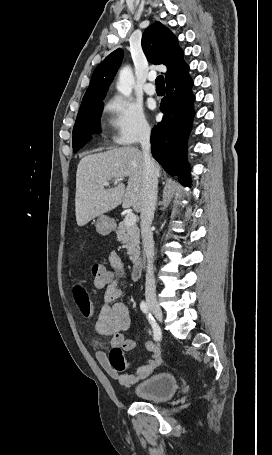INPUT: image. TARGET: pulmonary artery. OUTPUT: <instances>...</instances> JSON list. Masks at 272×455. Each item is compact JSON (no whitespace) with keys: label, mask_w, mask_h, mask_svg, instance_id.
I'll use <instances>...</instances> for the list:
<instances>
[{"label":"pulmonary artery","mask_w":272,"mask_h":455,"mask_svg":"<svg viewBox=\"0 0 272 455\" xmlns=\"http://www.w3.org/2000/svg\"><path fill=\"white\" fill-rule=\"evenodd\" d=\"M155 79L154 75H149L148 76V82L144 85V91L148 95H155L156 94V88L153 85L152 81Z\"/></svg>","instance_id":"1"}]
</instances>
